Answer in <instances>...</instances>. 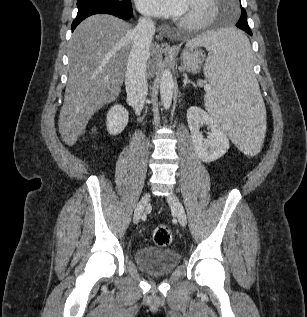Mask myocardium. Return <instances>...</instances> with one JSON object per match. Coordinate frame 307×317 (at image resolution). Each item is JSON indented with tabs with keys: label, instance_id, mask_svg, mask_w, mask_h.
Returning a JSON list of instances; mask_svg holds the SVG:
<instances>
[{
	"label": "myocardium",
	"instance_id": "f54148a6",
	"mask_svg": "<svg viewBox=\"0 0 307 317\" xmlns=\"http://www.w3.org/2000/svg\"><path fill=\"white\" fill-rule=\"evenodd\" d=\"M192 3H200L205 9L204 13L193 19L182 18L179 24L188 30H198L209 25L217 15L218 5L216 0H190Z\"/></svg>",
	"mask_w": 307,
	"mask_h": 317
}]
</instances>
